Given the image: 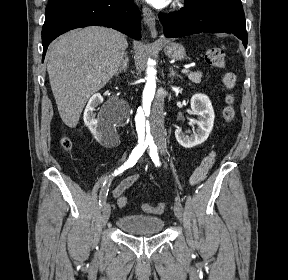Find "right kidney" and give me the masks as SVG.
Segmentation results:
<instances>
[{
    "instance_id": "ca27d5eb",
    "label": "right kidney",
    "mask_w": 288,
    "mask_h": 280,
    "mask_svg": "<svg viewBox=\"0 0 288 280\" xmlns=\"http://www.w3.org/2000/svg\"><path fill=\"white\" fill-rule=\"evenodd\" d=\"M103 102V97L97 93L90 99L84 111V123L94 138L103 146H109L116 136L114 127L108 123L104 114L96 117L95 108Z\"/></svg>"
}]
</instances>
